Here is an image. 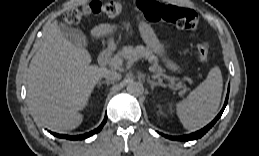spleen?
<instances>
[{
	"mask_svg": "<svg viewBox=\"0 0 259 156\" xmlns=\"http://www.w3.org/2000/svg\"><path fill=\"white\" fill-rule=\"evenodd\" d=\"M222 88L221 70L215 66L186 99L176 104L177 116L186 129H200L216 116Z\"/></svg>",
	"mask_w": 259,
	"mask_h": 156,
	"instance_id": "spleen-1",
	"label": "spleen"
}]
</instances>
